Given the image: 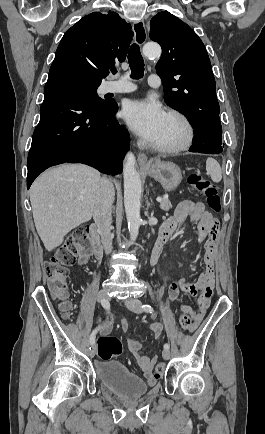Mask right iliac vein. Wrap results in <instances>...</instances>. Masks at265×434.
I'll list each match as a JSON object with an SVG mask.
<instances>
[{"label":"right iliac vein","mask_w":265,"mask_h":434,"mask_svg":"<svg viewBox=\"0 0 265 434\" xmlns=\"http://www.w3.org/2000/svg\"><path fill=\"white\" fill-rule=\"evenodd\" d=\"M97 298H98L99 301H104V300H106L107 302H109V296H108V294H107L105 291H103V290L100 291V292L98 293ZM96 351H97V347H96L95 344H93V345H92V348H91L90 351H89L90 356H91V357H94L95 354H96Z\"/></svg>","instance_id":"obj_1"}]
</instances>
